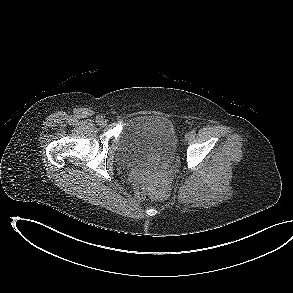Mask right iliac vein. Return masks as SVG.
I'll use <instances>...</instances> for the list:
<instances>
[{"label":"right iliac vein","instance_id":"63e3f726","mask_svg":"<svg viewBox=\"0 0 293 293\" xmlns=\"http://www.w3.org/2000/svg\"><path fill=\"white\" fill-rule=\"evenodd\" d=\"M100 124L105 126L107 124V120L102 118Z\"/></svg>","mask_w":293,"mask_h":293}]
</instances>
